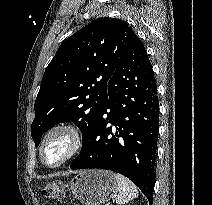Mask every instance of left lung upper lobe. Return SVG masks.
<instances>
[{
  "mask_svg": "<svg viewBox=\"0 0 212 205\" xmlns=\"http://www.w3.org/2000/svg\"><path fill=\"white\" fill-rule=\"evenodd\" d=\"M135 33L116 18L97 19L67 38L47 66L35 102L31 135H42L60 122H74L88 140L108 100V81Z\"/></svg>",
  "mask_w": 212,
  "mask_h": 205,
  "instance_id": "left-lung-upper-lobe-1",
  "label": "left lung upper lobe"
}]
</instances>
